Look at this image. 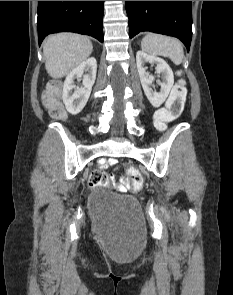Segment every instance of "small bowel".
<instances>
[{"label":"small bowel","instance_id":"obj_1","mask_svg":"<svg viewBox=\"0 0 233 295\" xmlns=\"http://www.w3.org/2000/svg\"><path fill=\"white\" fill-rule=\"evenodd\" d=\"M117 164V160L116 159H108L106 162H105V166H112V165H115ZM116 189L119 191V192H125L126 191V187L122 184H117L116 185Z\"/></svg>","mask_w":233,"mask_h":295}]
</instances>
